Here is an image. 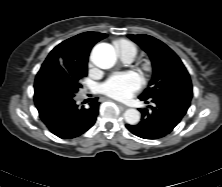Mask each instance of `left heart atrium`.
<instances>
[{"label":"left heart atrium","instance_id":"left-heart-atrium-1","mask_svg":"<svg viewBox=\"0 0 222 187\" xmlns=\"http://www.w3.org/2000/svg\"><path fill=\"white\" fill-rule=\"evenodd\" d=\"M142 86V79L135 72H121L111 75L101 86L106 95L118 100L130 99Z\"/></svg>","mask_w":222,"mask_h":187}]
</instances>
